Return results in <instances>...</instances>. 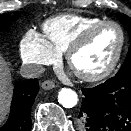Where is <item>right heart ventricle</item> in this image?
Here are the masks:
<instances>
[{
  "label": "right heart ventricle",
  "mask_w": 131,
  "mask_h": 131,
  "mask_svg": "<svg viewBox=\"0 0 131 131\" xmlns=\"http://www.w3.org/2000/svg\"><path fill=\"white\" fill-rule=\"evenodd\" d=\"M103 21L100 18L79 14H62L46 20L43 25L44 38L59 54L89 26Z\"/></svg>",
  "instance_id": "right-heart-ventricle-1"
}]
</instances>
